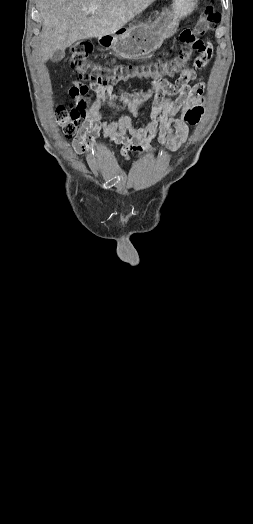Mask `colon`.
<instances>
[{"label":"colon","instance_id":"obj_1","mask_svg":"<svg viewBox=\"0 0 253 524\" xmlns=\"http://www.w3.org/2000/svg\"><path fill=\"white\" fill-rule=\"evenodd\" d=\"M219 21V11L214 5H209L198 18L194 28L190 30L200 36L208 35L217 27ZM201 43L204 42L201 41ZM189 46L190 44H183L182 48L172 55V58L168 59H157L143 64L120 63L107 66L104 65L106 60L104 55L99 57L98 63L93 61L90 58L91 43L88 40H81L72 47L69 64L77 73L78 79L88 82L91 89H110L120 81L130 79L152 80L151 76L153 74L157 76L162 74L164 79L173 76L193 60L192 54L194 52L190 51ZM80 80L73 82L70 92L76 89L81 97L75 99L74 103L69 106H59L56 111L57 123L67 137H72L76 134L80 119L88 113L90 108L89 100L82 95L85 89L81 90L82 82ZM201 114L202 109L195 107L187 113L186 117L189 122L194 124L199 121Z\"/></svg>","mask_w":253,"mask_h":524}]
</instances>
